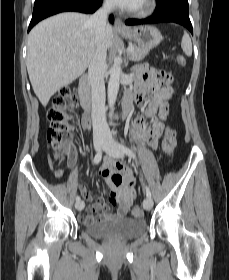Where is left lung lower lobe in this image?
<instances>
[{"label": "left lung lower lobe", "instance_id": "0a47b994", "mask_svg": "<svg viewBox=\"0 0 229 280\" xmlns=\"http://www.w3.org/2000/svg\"><path fill=\"white\" fill-rule=\"evenodd\" d=\"M154 15L146 19H129L126 25L152 24L160 22H175L185 26L192 34V24L189 19L188 0H157Z\"/></svg>", "mask_w": 229, "mask_h": 280}]
</instances>
